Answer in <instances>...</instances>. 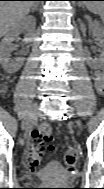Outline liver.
I'll use <instances>...</instances> for the list:
<instances>
[{
	"label": "liver",
	"instance_id": "1",
	"mask_svg": "<svg viewBox=\"0 0 104 189\" xmlns=\"http://www.w3.org/2000/svg\"><path fill=\"white\" fill-rule=\"evenodd\" d=\"M36 5L34 1H1L0 2V33L7 34Z\"/></svg>",
	"mask_w": 104,
	"mask_h": 189
}]
</instances>
